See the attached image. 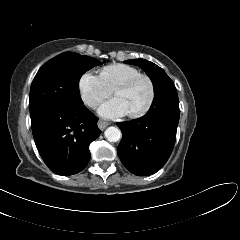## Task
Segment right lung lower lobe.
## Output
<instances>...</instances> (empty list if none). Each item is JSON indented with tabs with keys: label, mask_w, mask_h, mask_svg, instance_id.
<instances>
[{
	"label": "right lung lower lobe",
	"mask_w": 240,
	"mask_h": 240,
	"mask_svg": "<svg viewBox=\"0 0 240 240\" xmlns=\"http://www.w3.org/2000/svg\"><path fill=\"white\" fill-rule=\"evenodd\" d=\"M98 118L83 104L54 107L31 118L36 147L50 170L69 176L89 162V144L101 133Z\"/></svg>",
	"instance_id": "1"
}]
</instances>
